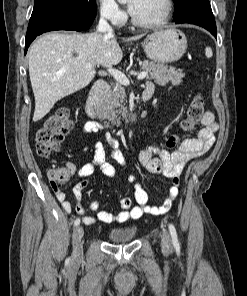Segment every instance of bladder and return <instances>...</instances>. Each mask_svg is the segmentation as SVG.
Masks as SVG:
<instances>
[{
    "instance_id": "1",
    "label": "bladder",
    "mask_w": 247,
    "mask_h": 296,
    "mask_svg": "<svg viewBox=\"0 0 247 296\" xmlns=\"http://www.w3.org/2000/svg\"><path fill=\"white\" fill-rule=\"evenodd\" d=\"M136 232V227H116L109 232V240L112 243H127L133 240Z\"/></svg>"
}]
</instances>
